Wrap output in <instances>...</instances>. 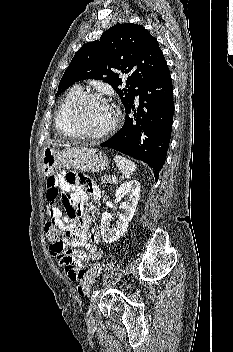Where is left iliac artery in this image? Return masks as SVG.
Masks as SVG:
<instances>
[{"label": "left iliac artery", "instance_id": "1", "mask_svg": "<svg viewBox=\"0 0 233 352\" xmlns=\"http://www.w3.org/2000/svg\"><path fill=\"white\" fill-rule=\"evenodd\" d=\"M100 293V290H95L92 294V299L96 298L98 296V294Z\"/></svg>", "mask_w": 233, "mask_h": 352}]
</instances>
